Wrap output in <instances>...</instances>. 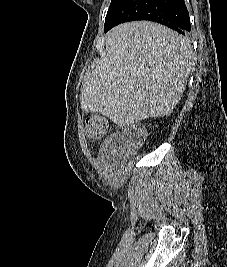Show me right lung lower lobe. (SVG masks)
Wrapping results in <instances>:
<instances>
[{
	"mask_svg": "<svg viewBox=\"0 0 227 267\" xmlns=\"http://www.w3.org/2000/svg\"><path fill=\"white\" fill-rule=\"evenodd\" d=\"M134 20L158 22L180 34L191 29L184 0H127L105 26V32L120 23Z\"/></svg>",
	"mask_w": 227,
	"mask_h": 267,
	"instance_id": "98d812e1",
	"label": "right lung lower lobe"
}]
</instances>
